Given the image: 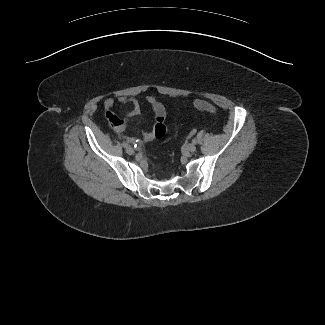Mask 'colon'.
<instances>
[{
    "instance_id": "5ec220e1",
    "label": "colon",
    "mask_w": 325,
    "mask_h": 325,
    "mask_svg": "<svg viewBox=\"0 0 325 325\" xmlns=\"http://www.w3.org/2000/svg\"><path fill=\"white\" fill-rule=\"evenodd\" d=\"M193 106L199 110L209 112L210 114L216 113V108L212 104L204 100H200V99L195 100L193 102Z\"/></svg>"
}]
</instances>
